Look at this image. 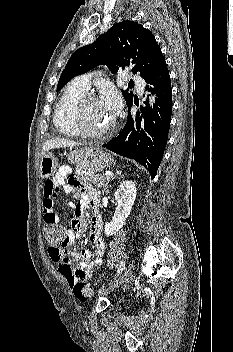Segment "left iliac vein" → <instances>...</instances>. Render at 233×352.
Wrapping results in <instances>:
<instances>
[{
    "mask_svg": "<svg viewBox=\"0 0 233 352\" xmlns=\"http://www.w3.org/2000/svg\"><path fill=\"white\" fill-rule=\"evenodd\" d=\"M133 270H134V265L129 264L126 270L124 271V273L122 274V276L115 283L110 285L108 288L103 289L100 292V295L108 294L109 292H112L113 290L118 288L128 277L132 275Z\"/></svg>",
    "mask_w": 233,
    "mask_h": 352,
    "instance_id": "4c4485c4",
    "label": "left iliac vein"
}]
</instances>
